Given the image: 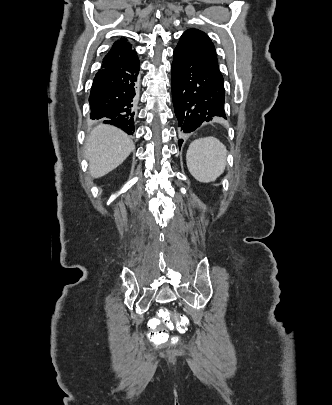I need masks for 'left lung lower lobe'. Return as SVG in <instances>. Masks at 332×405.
I'll return each mask as SVG.
<instances>
[{"mask_svg": "<svg viewBox=\"0 0 332 405\" xmlns=\"http://www.w3.org/2000/svg\"><path fill=\"white\" fill-rule=\"evenodd\" d=\"M172 62V100L181 135L217 117L226 119L225 90L219 70L177 45ZM183 139H179L181 147Z\"/></svg>", "mask_w": 332, "mask_h": 405, "instance_id": "left-lung-lower-lobe-1", "label": "left lung lower lobe"}]
</instances>
